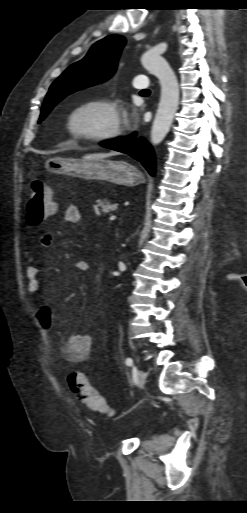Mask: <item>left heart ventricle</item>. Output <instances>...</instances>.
I'll use <instances>...</instances> for the list:
<instances>
[{"mask_svg": "<svg viewBox=\"0 0 247 513\" xmlns=\"http://www.w3.org/2000/svg\"><path fill=\"white\" fill-rule=\"evenodd\" d=\"M75 124L80 130L99 132L112 124V117L106 110L94 108L81 112L77 116Z\"/></svg>", "mask_w": 247, "mask_h": 513, "instance_id": "obj_1", "label": "left heart ventricle"}]
</instances>
